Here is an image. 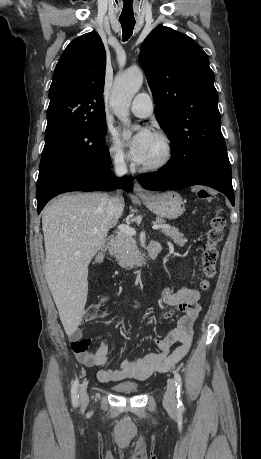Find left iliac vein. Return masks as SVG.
<instances>
[{
    "mask_svg": "<svg viewBox=\"0 0 261 459\" xmlns=\"http://www.w3.org/2000/svg\"><path fill=\"white\" fill-rule=\"evenodd\" d=\"M164 406L168 410H175L177 405L176 400V384L173 379H169L167 382V389L163 400Z\"/></svg>",
    "mask_w": 261,
    "mask_h": 459,
    "instance_id": "obj_1",
    "label": "left iliac vein"
}]
</instances>
